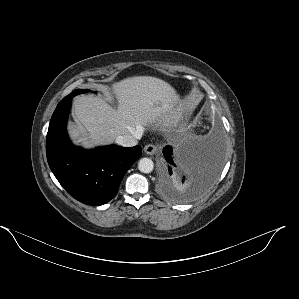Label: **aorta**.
Listing matches in <instances>:
<instances>
[{
	"instance_id": "aorta-1",
	"label": "aorta",
	"mask_w": 299,
	"mask_h": 299,
	"mask_svg": "<svg viewBox=\"0 0 299 299\" xmlns=\"http://www.w3.org/2000/svg\"><path fill=\"white\" fill-rule=\"evenodd\" d=\"M154 168V163L150 158H142L138 163V169L143 173H150Z\"/></svg>"
}]
</instances>
